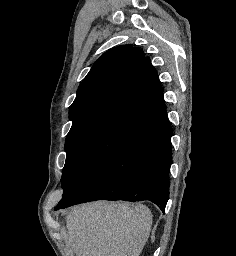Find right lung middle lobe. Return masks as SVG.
I'll return each instance as SVG.
<instances>
[{"mask_svg":"<svg viewBox=\"0 0 236 256\" xmlns=\"http://www.w3.org/2000/svg\"><path fill=\"white\" fill-rule=\"evenodd\" d=\"M151 124L123 113L91 118L73 125L65 143L63 196L69 199L108 157Z\"/></svg>","mask_w":236,"mask_h":256,"instance_id":"right-lung-middle-lobe-1","label":"right lung middle lobe"}]
</instances>
